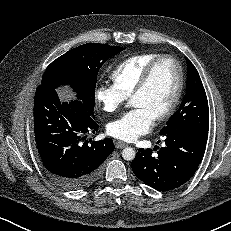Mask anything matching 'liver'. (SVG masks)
<instances>
[{
  "label": "liver",
  "instance_id": "liver-1",
  "mask_svg": "<svg viewBox=\"0 0 231 231\" xmlns=\"http://www.w3.org/2000/svg\"><path fill=\"white\" fill-rule=\"evenodd\" d=\"M59 96H60L61 100L72 99L71 95H68V94H65L62 92H59Z\"/></svg>",
  "mask_w": 231,
  "mask_h": 231
}]
</instances>
